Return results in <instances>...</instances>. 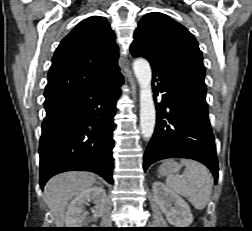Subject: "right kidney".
Instances as JSON below:
<instances>
[{
  "mask_svg": "<svg viewBox=\"0 0 252 231\" xmlns=\"http://www.w3.org/2000/svg\"><path fill=\"white\" fill-rule=\"evenodd\" d=\"M93 202V216L101 217L105 210L106 192L101 187H92L77 195L68 205L65 223L69 228H83L85 226L84 204Z\"/></svg>",
  "mask_w": 252,
  "mask_h": 231,
  "instance_id": "obj_1",
  "label": "right kidney"
}]
</instances>
